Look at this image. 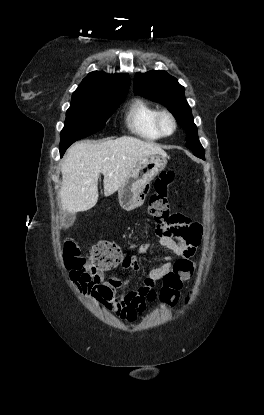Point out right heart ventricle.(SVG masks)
I'll list each match as a JSON object with an SVG mask.
<instances>
[{
    "instance_id": "right-heart-ventricle-1",
    "label": "right heart ventricle",
    "mask_w": 264,
    "mask_h": 415,
    "mask_svg": "<svg viewBox=\"0 0 264 415\" xmlns=\"http://www.w3.org/2000/svg\"><path fill=\"white\" fill-rule=\"evenodd\" d=\"M158 109L149 102L135 99L130 103L125 114L127 128L140 139L154 141L160 139L155 127V116Z\"/></svg>"
}]
</instances>
